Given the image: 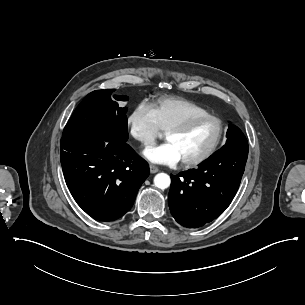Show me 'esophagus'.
Segmentation results:
<instances>
[{
    "label": "esophagus",
    "instance_id": "1",
    "mask_svg": "<svg viewBox=\"0 0 305 305\" xmlns=\"http://www.w3.org/2000/svg\"><path fill=\"white\" fill-rule=\"evenodd\" d=\"M149 168H150V172H151L152 174L158 172V168H157L155 165L150 164V165H149Z\"/></svg>",
    "mask_w": 305,
    "mask_h": 305
}]
</instances>
